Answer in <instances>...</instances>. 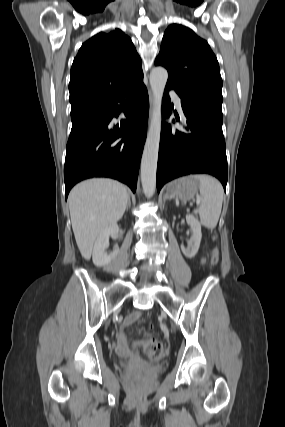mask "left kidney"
Segmentation results:
<instances>
[{"label":"left kidney","mask_w":285,"mask_h":427,"mask_svg":"<svg viewBox=\"0 0 285 427\" xmlns=\"http://www.w3.org/2000/svg\"><path fill=\"white\" fill-rule=\"evenodd\" d=\"M186 221L191 228L192 236L188 247L185 248L183 245H181V250L187 258H193L197 254L200 247L202 238L201 225L193 215H186Z\"/></svg>","instance_id":"1"}]
</instances>
